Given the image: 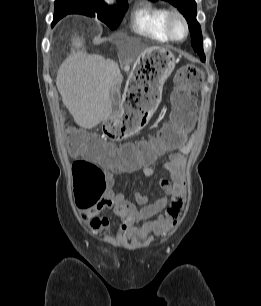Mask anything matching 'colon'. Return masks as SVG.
Returning a JSON list of instances; mask_svg holds the SVG:
<instances>
[{"instance_id": "obj_1", "label": "colon", "mask_w": 261, "mask_h": 306, "mask_svg": "<svg viewBox=\"0 0 261 306\" xmlns=\"http://www.w3.org/2000/svg\"><path fill=\"white\" fill-rule=\"evenodd\" d=\"M202 74L195 65L182 66L175 74L176 88L172 94L173 112L171 123L165 124L159 134L149 142H143L137 147L126 146L121 151L113 153L99 149L94 144L83 141L71 134L68 138V147L72 153H82L72 164L74 186L78 198V207L86 208L85 201L93 198L102 199L106 190L105 174L94 160L116 167L119 165L132 166L137 163H148L162 152L177 148L184 134L192 125L195 110L193 92L201 82ZM128 127L120 121L107 122L103 136L108 140L122 139Z\"/></svg>"}]
</instances>
